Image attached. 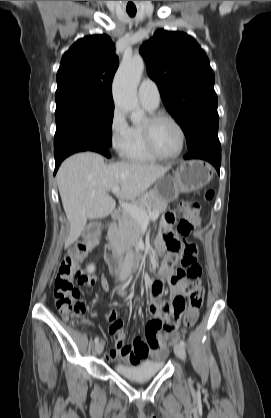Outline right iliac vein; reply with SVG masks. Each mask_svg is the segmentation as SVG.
Masks as SVG:
<instances>
[{
    "label": "right iliac vein",
    "instance_id": "right-iliac-vein-1",
    "mask_svg": "<svg viewBox=\"0 0 271 418\" xmlns=\"http://www.w3.org/2000/svg\"><path fill=\"white\" fill-rule=\"evenodd\" d=\"M104 349V342H99L95 346V351L98 355H100L103 352Z\"/></svg>",
    "mask_w": 271,
    "mask_h": 418
}]
</instances>
